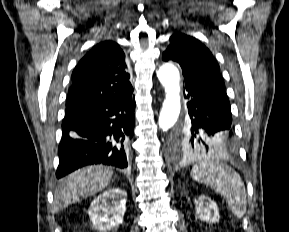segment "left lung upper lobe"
<instances>
[{"label":"left lung upper lobe","instance_id":"1","mask_svg":"<svg viewBox=\"0 0 289 232\" xmlns=\"http://www.w3.org/2000/svg\"><path fill=\"white\" fill-rule=\"evenodd\" d=\"M163 60H173L180 64L184 78L208 82L224 89L220 68L212 53L197 39L183 33L170 37V46L162 55ZM175 144L185 150L206 151L208 144L199 141L187 126L177 132Z\"/></svg>","mask_w":289,"mask_h":232}]
</instances>
